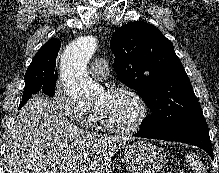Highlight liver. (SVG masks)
<instances>
[{
	"label": "liver",
	"mask_w": 219,
	"mask_h": 173,
	"mask_svg": "<svg viewBox=\"0 0 219 173\" xmlns=\"http://www.w3.org/2000/svg\"><path fill=\"white\" fill-rule=\"evenodd\" d=\"M125 137L79 129L43 96L19 111L6 143L5 173H109Z\"/></svg>",
	"instance_id": "liver-1"
}]
</instances>
